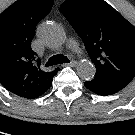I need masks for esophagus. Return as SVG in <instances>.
I'll list each match as a JSON object with an SVG mask.
<instances>
[{
    "instance_id": "1",
    "label": "esophagus",
    "mask_w": 135,
    "mask_h": 135,
    "mask_svg": "<svg viewBox=\"0 0 135 135\" xmlns=\"http://www.w3.org/2000/svg\"><path fill=\"white\" fill-rule=\"evenodd\" d=\"M65 66H71V67H74L77 65V61H71L70 63H67V64H64Z\"/></svg>"
}]
</instances>
